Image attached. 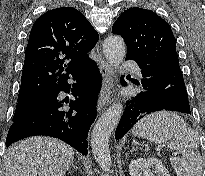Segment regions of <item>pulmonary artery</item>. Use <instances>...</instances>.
I'll use <instances>...</instances> for the list:
<instances>
[{
	"instance_id": "e3ab8cb5",
	"label": "pulmonary artery",
	"mask_w": 205,
	"mask_h": 176,
	"mask_svg": "<svg viewBox=\"0 0 205 176\" xmlns=\"http://www.w3.org/2000/svg\"><path fill=\"white\" fill-rule=\"evenodd\" d=\"M122 69H123L124 71H130V72L136 74L139 78L142 77V74H141V72H140V69H139L138 65L133 64V63L130 62V60L127 59V58H123V59H122Z\"/></svg>"
}]
</instances>
